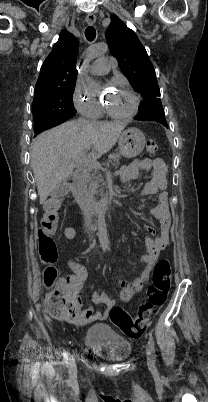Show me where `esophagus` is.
<instances>
[{"label": "esophagus", "instance_id": "obj_1", "mask_svg": "<svg viewBox=\"0 0 208 402\" xmlns=\"http://www.w3.org/2000/svg\"><path fill=\"white\" fill-rule=\"evenodd\" d=\"M95 21H96L95 15H93L92 13H89V14L87 15V17H86V22H87L89 25H93V24L95 23Z\"/></svg>", "mask_w": 208, "mask_h": 402}]
</instances>
